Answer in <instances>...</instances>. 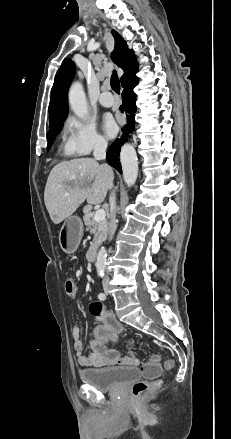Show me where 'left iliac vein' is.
<instances>
[{
    "label": "left iliac vein",
    "mask_w": 231,
    "mask_h": 439,
    "mask_svg": "<svg viewBox=\"0 0 231 439\" xmlns=\"http://www.w3.org/2000/svg\"><path fill=\"white\" fill-rule=\"evenodd\" d=\"M106 294H108V289L105 291Z\"/></svg>",
    "instance_id": "left-iliac-vein-1"
}]
</instances>
